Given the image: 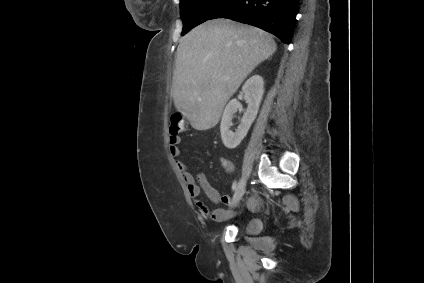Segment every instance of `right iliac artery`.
Listing matches in <instances>:
<instances>
[{
  "instance_id": "obj_1",
  "label": "right iliac artery",
  "mask_w": 424,
  "mask_h": 283,
  "mask_svg": "<svg viewBox=\"0 0 424 283\" xmlns=\"http://www.w3.org/2000/svg\"><path fill=\"white\" fill-rule=\"evenodd\" d=\"M236 187H237V183L236 182H234L233 183V186H232V190L234 191V190H236Z\"/></svg>"
}]
</instances>
